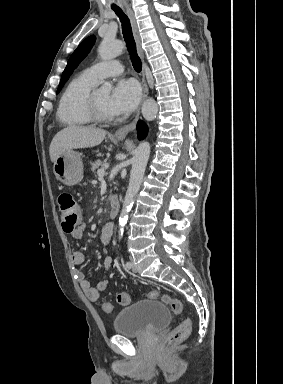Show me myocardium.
<instances>
[{"mask_svg": "<svg viewBox=\"0 0 283 384\" xmlns=\"http://www.w3.org/2000/svg\"><path fill=\"white\" fill-rule=\"evenodd\" d=\"M83 113L89 118V120L96 124H110L115 121V118L106 117L101 114L93 92H90L83 102Z\"/></svg>", "mask_w": 283, "mask_h": 384, "instance_id": "obj_1", "label": "myocardium"}]
</instances>
